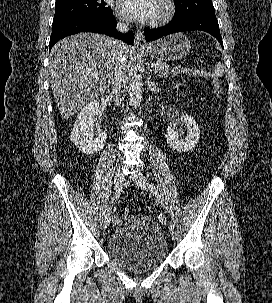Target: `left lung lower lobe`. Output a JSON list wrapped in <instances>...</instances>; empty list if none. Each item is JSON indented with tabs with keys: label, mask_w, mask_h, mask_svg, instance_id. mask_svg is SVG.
I'll use <instances>...</instances> for the list:
<instances>
[{
	"label": "left lung lower lobe",
	"mask_w": 272,
	"mask_h": 303,
	"mask_svg": "<svg viewBox=\"0 0 272 303\" xmlns=\"http://www.w3.org/2000/svg\"><path fill=\"white\" fill-rule=\"evenodd\" d=\"M192 30H201L213 35L223 47L219 25L215 15L173 19L169 24L161 28H145L144 34L146 41H153L172 33Z\"/></svg>",
	"instance_id": "1"
}]
</instances>
